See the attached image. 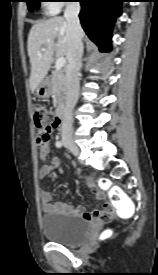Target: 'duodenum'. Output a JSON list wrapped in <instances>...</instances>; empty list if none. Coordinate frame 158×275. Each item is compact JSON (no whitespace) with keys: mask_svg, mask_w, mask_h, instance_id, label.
<instances>
[{"mask_svg":"<svg viewBox=\"0 0 158 275\" xmlns=\"http://www.w3.org/2000/svg\"><path fill=\"white\" fill-rule=\"evenodd\" d=\"M65 116H66L65 107L62 104H60L58 106L57 113H56V117L58 119L59 124H61V122L64 120Z\"/></svg>","mask_w":158,"mask_h":275,"instance_id":"obj_1","label":"duodenum"}]
</instances>
